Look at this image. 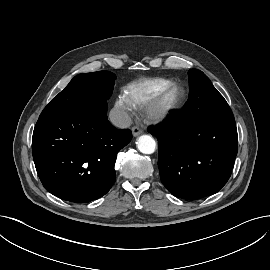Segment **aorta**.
Listing matches in <instances>:
<instances>
[{
	"label": "aorta",
	"mask_w": 270,
	"mask_h": 270,
	"mask_svg": "<svg viewBox=\"0 0 270 270\" xmlns=\"http://www.w3.org/2000/svg\"><path fill=\"white\" fill-rule=\"evenodd\" d=\"M137 148L143 154H152L155 152L156 142L149 135H141L137 140Z\"/></svg>",
	"instance_id": "obj_1"
}]
</instances>
